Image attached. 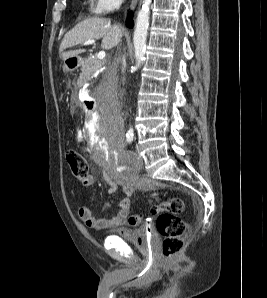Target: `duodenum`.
<instances>
[{"instance_id": "410a0bca", "label": "duodenum", "mask_w": 267, "mask_h": 298, "mask_svg": "<svg viewBox=\"0 0 267 298\" xmlns=\"http://www.w3.org/2000/svg\"><path fill=\"white\" fill-rule=\"evenodd\" d=\"M97 97H98L97 93H89V100L88 98H81V103L85 105L86 115H95L94 105H96V102L98 101Z\"/></svg>"}]
</instances>
